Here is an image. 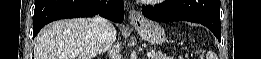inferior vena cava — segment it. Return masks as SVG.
I'll return each mask as SVG.
<instances>
[{"label":"inferior vena cava","mask_w":261,"mask_h":59,"mask_svg":"<svg viewBox=\"0 0 261 59\" xmlns=\"http://www.w3.org/2000/svg\"><path fill=\"white\" fill-rule=\"evenodd\" d=\"M91 26L93 32L96 34L97 40L100 42V45L105 48L108 41V31L110 28L108 20L100 16H96L92 19Z\"/></svg>","instance_id":"602c4592"}]
</instances>
